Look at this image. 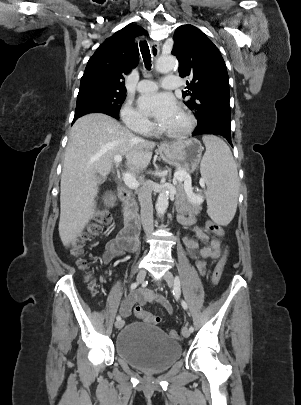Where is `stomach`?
Instances as JSON below:
<instances>
[{
	"mask_svg": "<svg viewBox=\"0 0 301 405\" xmlns=\"http://www.w3.org/2000/svg\"><path fill=\"white\" fill-rule=\"evenodd\" d=\"M203 147L197 139L190 138L163 145L159 148L162 160L177 169L193 172L201 160Z\"/></svg>",
	"mask_w": 301,
	"mask_h": 405,
	"instance_id": "0dacf381",
	"label": "stomach"
}]
</instances>
